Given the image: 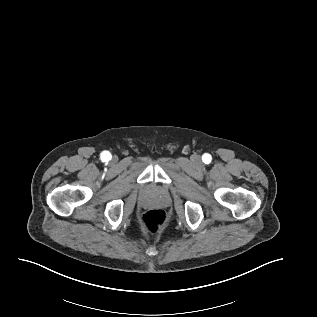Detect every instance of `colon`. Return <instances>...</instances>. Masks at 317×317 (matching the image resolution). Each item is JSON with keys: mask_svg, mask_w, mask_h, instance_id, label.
Here are the masks:
<instances>
[{"mask_svg": "<svg viewBox=\"0 0 317 317\" xmlns=\"http://www.w3.org/2000/svg\"><path fill=\"white\" fill-rule=\"evenodd\" d=\"M165 220L166 213L163 209L159 208L150 209L143 213L141 217V223L151 232L157 231L165 223Z\"/></svg>", "mask_w": 317, "mask_h": 317, "instance_id": "obj_1", "label": "colon"}]
</instances>
